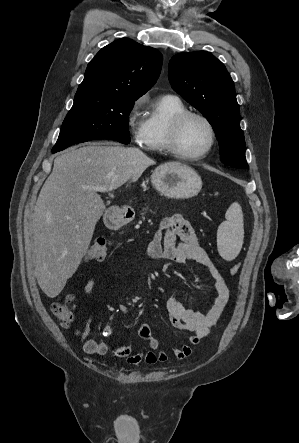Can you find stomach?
<instances>
[{
    "label": "stomach",
    "instance_id": "0dacf381",
    "mask_svg": "<svg viewBox=\"0 0 299 443\" xmlns=\"http://www.w3.org/2000/svg\"><path fill=\"white\" fill-rule=\"evenodd\" d=\"M151 182L158 192L172 199L191 198L202 188L201 177L194 169L175 162L158 166L152 173ZM127 222L123 215H117L113 218L111 227L119 228Z\"/></svg>",
    "mask_w": 299,
    "mask_h": 443
}]
</instances>
